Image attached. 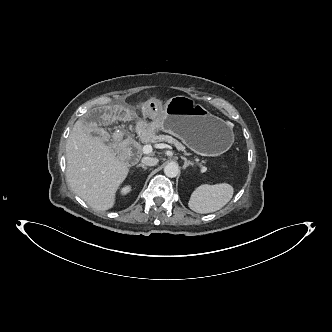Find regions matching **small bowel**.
<instances>
[{
	"instance_id": "small-bowel-1",
	"label": "small bowel",
	"mask_w": 332,
	"mask_h": 332,
	"mask_svg": "<svg viewBox=\"0 0 332 332\" xmlns=\"http://www.w3.org/2000/svg\"><path fill=\"white\" fill-rule=\"evenodd\" d=\"M163 103L157 99H148L141 104V109L149 119H155L161 114ZM130 119L129 111L122 106L113 103L105 104L99 110L91 111L82 120V125L87 130H92L96 126L106 123L116 127L125 126ZM148 125L139 123L137 131L140 137L148 138L151 132L148 131Z\"/></svg>"
}]
</instances>
